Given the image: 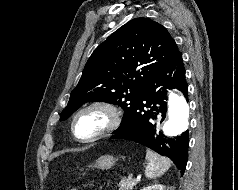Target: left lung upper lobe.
<instances>
[{
  "mask_svg": "<svg viewBox=\"0 0 238 190\" xmlns=\"http://www.w3.org/2000/svg\"><path fill=\"white\" fill-rule=\"evenodd\" d=\"M178 52L161 24L148 18L129 21L94 50L60 120L86 102L104 101L124 109V123L153 74Z\"/></svg>",
  "mask_w": 238,
  "mask_h": 190,
  "instance_id": "1",
  "label": "left lung upper lobe"
}]
</instances>
